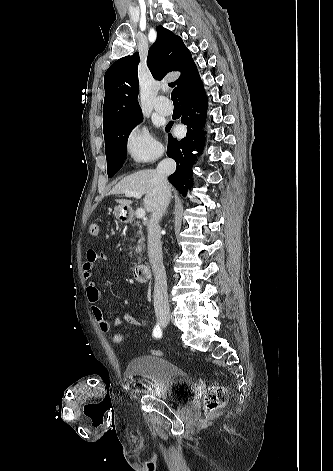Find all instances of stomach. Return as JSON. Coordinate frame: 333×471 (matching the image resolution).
<instances>
[{"instance_id": "1", "label": "stomach", "mask_w": 333, "mask_h": 471, "mask_svg": "<svg viewBox=\"0 0 333 471\" xmlns=\"http://www.w3.org/2000/svg\"><path fill=\"white\" fill-rule=\"evenodd\" d=\"M125 212H126V207L125 206L120 205V206H116L114 208V215H115L116 219H118L119 221L124 220Z\"/></svg>"}]
</instances>
